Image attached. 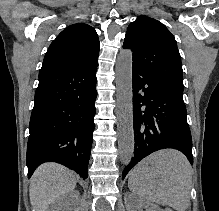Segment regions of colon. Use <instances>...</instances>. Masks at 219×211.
Wrapping results in <instances>:
<instances>
[{
  "label": "colon",
  "mask_w": 219,
  "mask_h": 211,
  "mask_svg": "<svg viewBox=\"0 0 219 211\" xmlns=\"http://www.w3.org/2000/svg\"><path fill=\"white\" fill-rule=\"evenodd\" d=\"M166 211H173V210H171V209H167Z\"/></svg>",
  "instance_id": "1"
}]
</instances>
